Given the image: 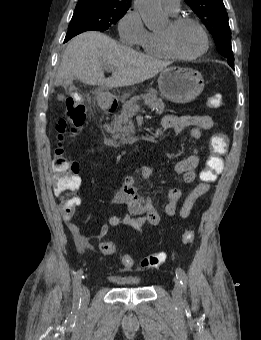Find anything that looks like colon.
Listing matches in <instances>:
<instances>
[{
  "label": "colon",
  "instance_id": "obj_1",
  "mask_svg": "<svg viewBox=\"0 0 261 340\" xmlns=\"http://www.w3.org/2000/svg\"><path fill=\"white\" fill-rule=\"evenodd\" d=\"M222 96L214 94L207 100L209 108H220L222 106ZM86 120L85 106L74 98L66 101V115L56 124L57 148L52 162L53 170V191L60 200V207L63 215H72L79 204L76 191L80 186L78 179V163L71 161L63 149V143L67 136L75 135L83 126ZM211 155L206 161L205 168L200 173V181L210 184L215 181L217 174L222 170L223 161L221 156L228 148L227 137L220 132L213 134L209 141ZM181 239L184 243H190L194 239V232L186 228ZM101 252L110 256L116 253V245L112 241H104L100 245ZM166 260L165 252H157L146 256L141 261V267L145 269L157 268ZM123 266L130 269L134 266V259L127 254L121 256Z\"/></svg>",
  "mask_w": 261,
  "mask_h": 340
}]
</instances>
